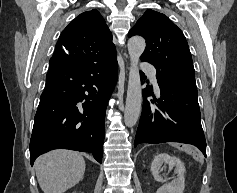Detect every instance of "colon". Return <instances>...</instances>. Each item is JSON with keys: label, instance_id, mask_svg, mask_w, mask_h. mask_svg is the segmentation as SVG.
I'll list each match as a JSON object with an SVG mask.
<instances>
[{"label": "colon", "instance_id": "1", "mask_svg": "<svg viewBox=\"0 0 237 193\" xmlns=\"http://www.w3.org/2000/svg\"><path fill=\"white\" fill-rule=\"evenodd\" d=\"M193 157H194L196 160H200V159H201V156L198 155L197 153H193Z\"/></svg>", "mask_w": 237, "mask_h": 193}]
</instances>
